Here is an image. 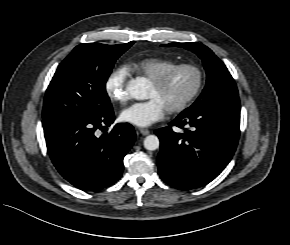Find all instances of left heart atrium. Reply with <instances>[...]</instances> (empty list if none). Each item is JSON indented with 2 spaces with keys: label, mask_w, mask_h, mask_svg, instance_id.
Masks as SVG:
<instances>
[{
  "label": "left heart atrium",
  "mask_w": 290,
  "mask_h": 245,
  "mask_svg": "<svg viewBox=\"0 0 290 245\" xmlns=\"http://www.w3.org/2000/svg\"><path fill=\"white\" fill-rule=\"evenodd\" d=\"M167 109L157 98L137 102L126 108L121 113L123 121L140 127H147L160 121L165 116Z\"/></svg>",
  "instance_id": "obj_1"
}]
</instances>
